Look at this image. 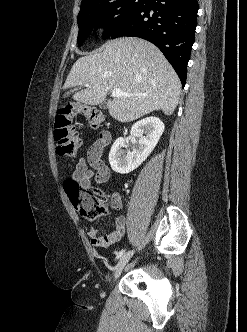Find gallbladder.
I'll list each match as a JSON object with an SVG mask.
<instances>
[{"label": "gallbladder", "instance_id": "obj_1", "mask_svg": "<svg viewBox=\"0 0 247 332\" xmlns=\"http://www.w3.org/2000/svg\"><path fill=\"white\" fill-rule=\"evenodd\" d=\"M106 106H107V102H105V101L100 104V108H102V109H106Z\"/></svg>", "mask_w": 247, "mask_h": 332}]
</instances>
